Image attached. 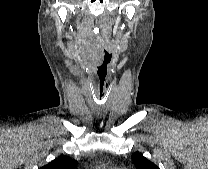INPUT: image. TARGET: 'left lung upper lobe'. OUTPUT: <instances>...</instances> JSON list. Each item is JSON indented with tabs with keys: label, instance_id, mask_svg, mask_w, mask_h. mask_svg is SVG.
Wrapping results in <instances>:
<instances>
[{
	"label": "left lung upper lobe",
	"instance_id": "1",
	"mask_svg": "<svg viewBox=\"0 0 208 169\" xmlns=\"http://www.w3.org/2000/svg\"><path fill=\"white\" fill-rule=\"evenodd\" d=\"M132 161L137 169H160L157 165L145 158L141 153H134L132 155Z\"/></svg>",
	"mask_w": 208,
	"mask_h": 169
}]
</instances>
